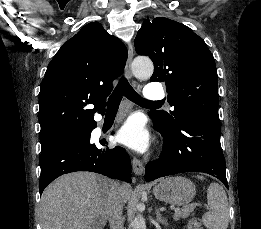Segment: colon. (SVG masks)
<instances>
[{"instance_id": "1", "label": "colon", "mask_w": 261, "mask_h": 229, "mask_svg": "<svg viewBox=\"0 0 261 229\" xmlns=\"http://www.w3.org/2000/svg\"><path fill=\"white\" fill-rule=\"evenodd\" d=\"M200 228H201V222L197 218L191 219L187 226V229H200Z\"/></svg>"}]
</instances>
